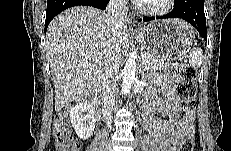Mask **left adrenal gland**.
Segmentation results:
<instances>
[{"label":"left adrenal gland","mask_w":231,"mask_h":151,"mask_svg":"<svg viewBox=\"0 0 231 151\" xmlns=\"http://www.w3.org/2000/svg\"><path fill=\"white\" fill-rule=\"evenodd\" d=\"M140 74L142 75V77L144 76V72L140 69Z\"/></svg>","instance_id":"left-adrenal-gland-1"}]
</instances>
